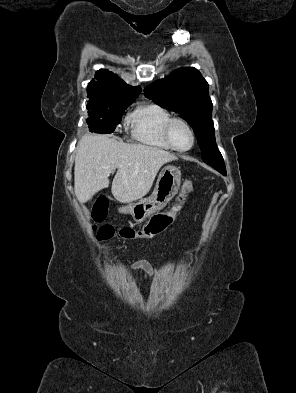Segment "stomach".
<instances>
[{
    "label": "stomach",
    "instance_id": "stomach-1",
    "mask_svg": "<svg viewBox=\"0 0 296 393\" xmlns=\"http://www.w3.org/2000/svg\"><path fill=\"white\" fill-rule=\"evenodd\" d=\"M180 184L181 171L175 166L168 165L161 170L150 197L130 203L120 208L119 212L129 213L136 222H142L165 207L177 194Z\"/></svg>",
    "mask_w": 296,
    "mask_h": 393
}]
</instances>
